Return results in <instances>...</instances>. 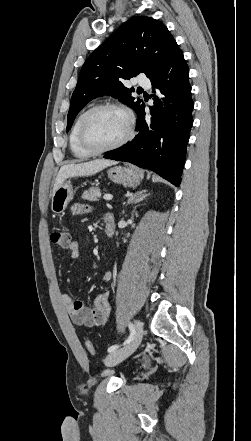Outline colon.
Returning <instances> with one entry per match:
<instances>
[{"label":"colon","instance_id":"colon-1","mask_svg":"<svg viewBox=\"0 0 251 441\" xmlns=\"http://www.w3.org/2000/svg\"><path fill=\"white\" fill-rule=\"evenodd\" d=\"M50 240L53 244L61 247V248H67L69 244L71 243V236L69 232L61 229H56L51 232L50 234ZM87 350L90 354H95L96 349L92 342L88 341L86 343Z\"/></svg>","mask_w":251,"mask_h":441}]
</instances>
